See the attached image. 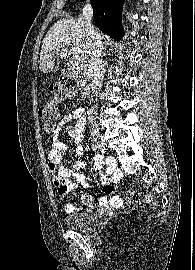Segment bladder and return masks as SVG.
Returning a JSON list of instances; mask_svg holds the SVG:
<instances>
[{
  "label": "bladder",
  "mask_w": 195,
  "mask_h": 270,
  "mask_svg": "<svg viewBox=\"0 0 195 270\" xmlns=\"http://www.w3.org/2000/svg\"><path fill=\"white\" fill-rule=\"evenodd\" d=\"M97 217V213L93 210L79 211L68 214L65 217V224L70 229L86 231L95 225Z\"/></svg>",
  "instance_id": "1"
}]
</instances>
